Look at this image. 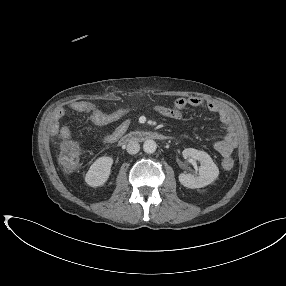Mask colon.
I'll list each match as a JSON object with an SVG mask.
<instances>
[{
  "instance_id": "1",
  "label": "colon",
  "mask_w": 286,
  "mask_h": 286,
  "mask_svg": "<svg viewBox=\"0 0 286 286\" xmlns=\"http://www.w3.org/2000/svg\"><path fill=\"white\" fill-rule=\"evenodd\" d=\"M79 148L75 142L68 137H62L60 146V162L67 169H73L77 166L79 161ZM233 159L228 158L224 160L223 166L225 169L233 167Z\"/></svg>"
}]
</instances>
